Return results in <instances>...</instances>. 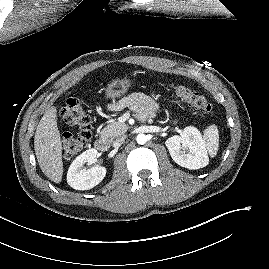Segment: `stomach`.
I'll return each mask as SVG.
<instances>
[{
    "instance_id": "0dacf381",
    "label": "stomach",
    "mask_w": 269,
    "mask_h": 269,
    "mask_svg": "<svg viewBox=\"0 0 269 269\" xmlns=\"http://www.w3.org/2000/svg\"><path fill=\"white\" fill-rule=\"evenodd\" d=\"M133 80L129 78L114 79L112 80L106 89L105 96L107 99L115 101L116 99L124 96L131 87Z\"/></svg>"
}]
</instances>
